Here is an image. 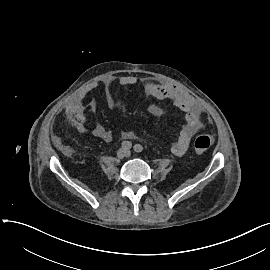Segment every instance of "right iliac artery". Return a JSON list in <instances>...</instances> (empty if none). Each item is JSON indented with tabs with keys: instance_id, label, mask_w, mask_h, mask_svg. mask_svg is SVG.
<instances>
[{
	"instance_id": "right-iliac-artery-1",
	"label": "right iliac artery",
	"mask_w": 270,
	"mask_h": 270,
	"mask_svg": "<svg viewBox=\"0 0 270 270\" xmlns=\"http://www.w3.org/2000/svg\"><path fill=\"white\" fill-rule=\"evenodd\" d=\"M121 145L124 149H130L132 147V143L129 141H123Z\"/></svg>"
}]
</instances>
